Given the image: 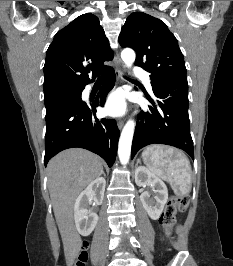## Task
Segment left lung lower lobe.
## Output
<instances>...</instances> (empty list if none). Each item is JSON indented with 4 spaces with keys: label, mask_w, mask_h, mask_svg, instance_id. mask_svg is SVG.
I'll use <instances>...</instances> for the list:
<instances>
[{
    "label": "left lung lower lobe",
    "mask_w": 233,
    "mask_h": 266,
    "mask_svg": "<svg viewBox=\"0 0 233 266\" xmlns=\"http://www.w3.org/2000/svg\"><path fill=\"white\" fill-rule=\"evenodd\" d=\"M157 98L148 100L152 106L141 111L132 142L131 157L150 144H166L187 152L194 160L193 141L188 116V83L173 78L152 83Z\"/></svg>",
    "instance_id": "left-lung-lower-lobe-1"
}]
</instances>
